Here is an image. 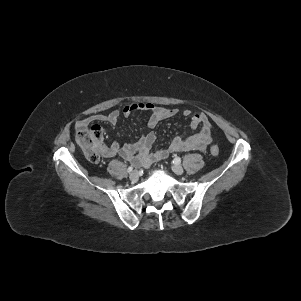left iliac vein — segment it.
<instances>
[{
  "mask_svg": "<svg viewBox=\"0 0 301 301\" xmlns=\"http://www.w3.org/2000/svg\"><path fill=\"white\" fill-rule=\"evenodd\" d=\"M172 170L177 175H182L184 173V169L178 164L173 165Z\"/></svg>",
  "mask_w": 301,
  "mask_h": 301,
  "instance_id": "1",
  "label": "left iliac vein"
}]
</instances>
